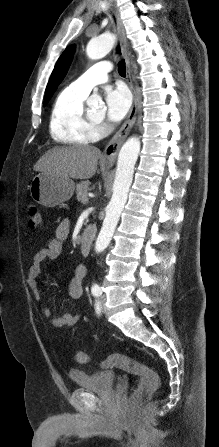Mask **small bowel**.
Listing matches in <instances>:
<instances>
[{
  "instance_id": "1",
  "label": "small bowel",
  "mask_w": 219,
  "mask_h": 447,
  "mask_svg": "<svg viewBox=\"0 0 219 447\" xmlns=\"http://www.w3.org/2000/svg\"><path fill=\"white\" fill-rule=\"evenodd\" d=\"M70 233V221L68 219L62 220L55 231V236L48 240L46 246L34 254L33 264L29 269L27 276V284L36 300H41L42 294L39 288L38 279L41 274V264L45 260L57 259L63 249V242L67 239ZM86 276V266L79 264L76 266L74 275L68 282V291L72 299L78 300L83 294V281ZM44 318L51 317V310L44 307L41 311ZM81 318L80 314L65 312L61 316L51 320L55 327H70L74 326Z\"/></svg>"
}]
</instances>
